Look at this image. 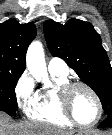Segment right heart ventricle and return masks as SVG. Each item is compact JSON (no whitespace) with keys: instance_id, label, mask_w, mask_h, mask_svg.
Segmentation results:
<instances>
[{"instance_id":"1","label":"right heart ventricle","mask_w":112,"mask_h":135,"mask_svg":"<svg viewBox=\"0 0 112 135\" xmlns=\"http://www.w3.org/2000/svg\"><path fill=\"white\" fill-rule=\"evenodd\" d=\"M53 85L40 90L28 109L29 118L56 126H71L73 123L62 112L57 96L58 89L69 82L67 75L50 73Z\"/></svg>"}]
</instances>
